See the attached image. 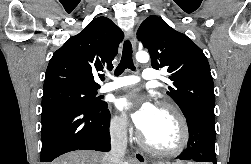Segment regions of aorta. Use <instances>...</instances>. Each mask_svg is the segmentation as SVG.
Instances as JSON below:
<instances>
[{"label":"aorta","mask_w":251,"mask_h":164,"mask_svg":"<svg viewBox=\"0 0 251 164\" xmlns=\"http://www.w3.org/2000/svg\"><path fill=\"white\" fill-rule=\"evenodd\" d=\"M136 60L140 63H146L149 60V54L145 51H139L136 53Z\"/></svg>","instance_id":"obj_1"}]
</instances>
